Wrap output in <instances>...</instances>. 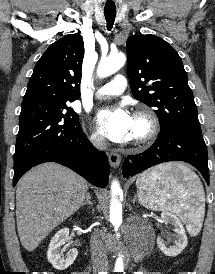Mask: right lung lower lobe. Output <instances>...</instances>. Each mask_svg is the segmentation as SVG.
Wrapping results in <instances>:
<instances>
[{"label": "right lung lower lobe", "mask_w": 215, "mask_h": 274, "mask_svg": "<svg viewBox=\"0 0 215 274\" xmlns=\"http://www.w3.org/2000/svg\"><path fill=\"white\" fill-rule=\"evenodd\" d=\"M48 161L72 169L97 187L108 183L110 168L106 154L95 149L80 129L44 144L14 164L13 186L30 168Z\"/></svg>", "instance_id": "obj_1"}]
</instances>
